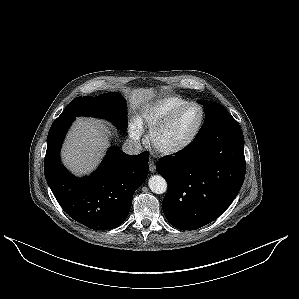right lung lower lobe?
Listing matches in <instances>:
<instances>
[{"label":"right lung lower lobe","instance_id":"98d812e1","mask_svg":"<svg viewBox=\"0 0 299 299\" xmlns=\"http://www.w3.org/2000/svg\"><path fill=\"white\" fill-rule=\"evenodd\" d=\"M75 116H59L47 138L46 181L62 209L93 230L118 227L127 217L134 192L148 175L149 155L131 156L112 146L89 177L76 178L60 161V147Z\"/></svg>","mask_w":299,"mask_h":299}]
</instances>
